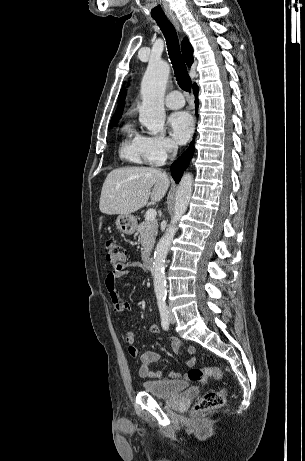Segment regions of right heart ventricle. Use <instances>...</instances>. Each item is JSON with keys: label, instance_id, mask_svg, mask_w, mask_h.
<instances>
[{"label": "right heart ventricle", "instance_id": "obj_1", "mask_svg": "<svg viewBox=\"0 0 305 461\" xmlns=\"http://www.w3.org/2000/svg\"><path fill=\"white\" fill-rule=\"evenodd\" d=\"M120 156L134 164L148 162L143 147L141 136L130 124L123 127V140L119 149Z\"/></svg>", "mask_w": 305, "mask_h": 461}]
</instances>
